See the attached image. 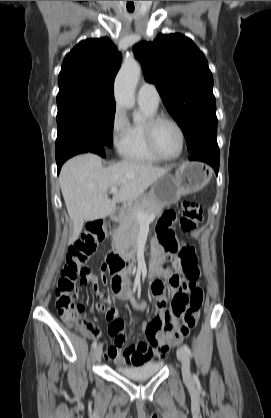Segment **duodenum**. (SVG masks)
Segmentation results:
<instances>
[{"label":"duodenum","mask_w":271,"mask_h":418,"mask_svg":"<svg viewBox=\"0 0 271 418\" xmlns=\"http://www.w3.org/2000/svg\"><path fill=\"white\" fill-rule=\"evenodd\" d=\"M121 216L120 211H115L111 214V219L119 221ZM106 260L111 273L114 274L129 272L135 264L133 255L128 251H111L108 253Z\"/></svg>","instance_id":"obj_1"}]
</instances>
